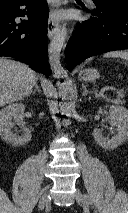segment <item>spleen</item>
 I'll return each mask as SVG.
<instances>
[{"label": "spleen", "instance_id": "1", "mask_svg": "<svg viewBox=\"0 0 128 213\" xmlns=\"http://www.w3.org/2000/svg\"><path fill=\"white\" fill-rule=\"evenodd\" d=\"M106 58H116L119 57L121 59L128 60V51H111L104 54Z\"/></svg>", "mask_w": 128, "mask_h": 213}]
</instances>
